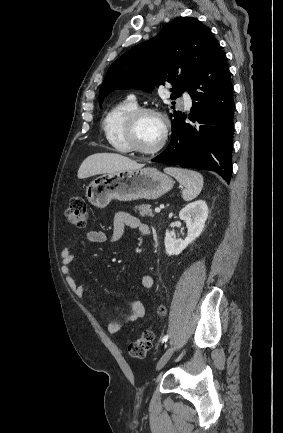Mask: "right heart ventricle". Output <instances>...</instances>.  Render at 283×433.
<instances>
[{
    "label": "right heart ventricle",
    "instance_id": "right-heart-ventricle-1",
    "mask_svg": "<svg viewBox=\"0 0 283 433\" xmlns=\"http://www.w3.org/2000/svg\"><path fill=\"white\" fill-rule=\"evenodd\" d=\"M137 108V104L124 100L109 110L103 118L102 128L108 143L118 152L128 153L130 150L123 140L122 131L126 117Z\"/></svg>",
    "mask_w": 283,
    "mask_h": 433
}]
</instances>
